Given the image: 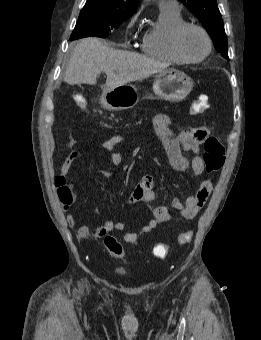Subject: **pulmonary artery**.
I'll return each instance as SVG.
<instances>
[{
    "instance_id": "1",
    "label": "pulmonary artery",
    "mask_w": 261,
    "mask_h": 340,
    "mask_svg": "<svg viewBox=\"0 0 261 340\" xmlns=\"http://www.w3.org/2000/svg\"><path fill=\"white\" fill-rule=\"evenodd\" d=\"M159 7L162 9L180 10V5L176 0H161Z\"/></svg>"
}]
</instances>
